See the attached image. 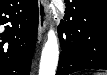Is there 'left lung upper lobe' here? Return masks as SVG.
<instances>
[{"mask_svg": "<svg viewBox=\"0 0 107 75\" xmlns=\"http://www.w3.org/2000/svg\"><path fill=\"white\" fill-rule=\"evenodd\" d=\"M98 9L107 10V0H95L91 4L80 5L78 9L70 15L72 22H74V32L76 36L86 38V33L81 22L82 14L91 13Z\"/></svg>", "mask_w": 107, "mask_h": 75, "instance_id": "left-lung-upper-lobe-1", "label": "left lung upper lobe"}]
</instances>
